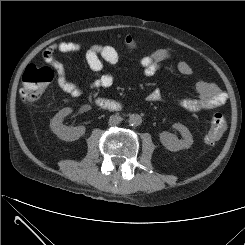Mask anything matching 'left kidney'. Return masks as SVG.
I'll use <instances>...</instances> for the list:
<instances>
[{"label": "left kidney", "mask_w": 245, "mask_h": 245, "mask_svg": "<svg viewBox=\"0 0 245 245\" xmlns=\"http://www.w3.org/2000/svg\"><path fill=\"white\" fill-rule=\"evenodd\" d=\"M173 127L180 131L183 139L179 140L176 135L163 132L160 137L162 144L170 151L188 149L193 144V138L188 128L180 123H175Z\"/></svg>", "instance_id": "left-kidney-1"}]
</instances>
